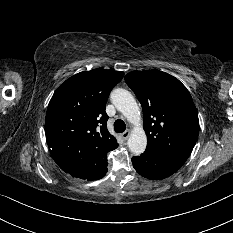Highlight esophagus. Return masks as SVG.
I'll list each match as a JSON object with an SVG mask.
<instances>
[{
	"mask_svg": "<svg viewBox=\"0 0 233 233\" xmlns=\"http://www.w3.org/2000/svg\"><path fill=\"white\" fill-rule=\"evenodd\" d=\"M129 135H130V131H129V130H126L125 132H123V133L121 134V137H122L123 140H127L128 137H129Z\"/></svg>",
	"mask_w": 233,
	"mask_h": 233,
	"instance_id": "esophagus-1",
	"label": "esophagus"
}]
</instances>
